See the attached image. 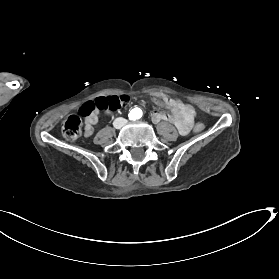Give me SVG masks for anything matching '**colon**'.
Returning a JSON list of instances; mask_svg holds the SVG:
<instances>
[{
	"label": "colon",
	"instance_id": "obj_1",
	"mask_svg": "<svg viewBox=\"0 0 279 279\" xmlns=\"http://www.w3.org/2000/svg\"><path fill=\"white\" fill-rule=\"evenodd\" d=\"M130 101L129 96H102L93 101L84 103L80 109L79 114L70 115L62 124V135L69 141H75L82 135V117H86L94 110H108L116 111L126 106ZM186 110L195 116V109L192 106L184 105ZM205 129L202 122H198L194 126V131L200 133Z\"/></svg>",
	"mask_w": 279,
	"mask_h": 279
}]
</instances>
